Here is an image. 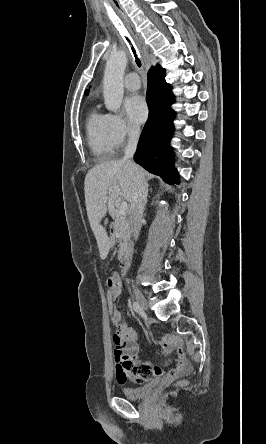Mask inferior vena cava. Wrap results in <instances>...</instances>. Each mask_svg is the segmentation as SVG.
I'll return each mask as SVG.
<instances>
[{
	"mask_svg": "<svg viewBox=\"0 0 266 444\" xmlns=\"http://www.w3.org/2000/svg\"><path fill=\"white\" fill-rule=\"evenodd\" d=\"M140 130L138 127H130L128 129V143L125 148L123 160H130L133 158L137 148ZM148 184L142 175H137L135 178L133 195L130 207L129 223L134 240L138 239L141 221L147 203Z\"/></svg>",
	"mask_w": 266,
	"mask_h": 444,
	"instance_id": "inferior-vena-cava-1",
	"label": "inferior vena cava"
}]
</instances>
